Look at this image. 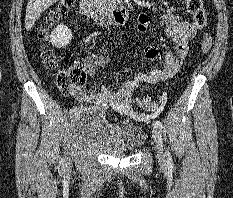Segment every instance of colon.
Here are the masks:
<instances>
[{
    "instance_id": "colon-1",
    "label": "colon",
    "mask_w": 233,
    "mask_h": 198,
    "mask_svg": "<svg viewBox=\"0 0 233 198\" xmlns=\"http://www.w3.org/2000/svg\"><path fill=\"white\" fill-rule=\"evenodd\" d=\"M188 11L193 16L194 24L203 28L206 25V14L204 11L203 0H185ZM74 5V0H61L59 5L52 9L46 20L42 23L39 30V37L45 39L48 35V30L53 23L69 12ZM212 45V37L210 34H205L200 42V48L204 55L208 54ZM43 63L47 68L53 69L56 66V56L53 50L45 48L42 52ZM85 72L80 63L75 64L69 69H63L56 73L55 81L58 88L64 93H71L76 87H80L85 82ZM162 101L158 98L147 97L137 101V108L148 114H154L162 107Z\"/></svg>"
}]
</instances>
